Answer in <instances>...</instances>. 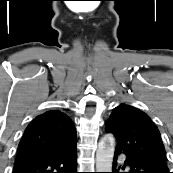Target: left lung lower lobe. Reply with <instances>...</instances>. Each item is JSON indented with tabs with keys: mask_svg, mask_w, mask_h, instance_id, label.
Listing matches in <instances>:
<instances>
[{
	"mask_svg": "<svg viewBox=\"0 0 173 173\" xmlns=\"http://www.w3.org/2000/svg\"><path fill=\"white\" fill-rule=\"evenodd\" d=\"M120 152L115 151L113 159V172L120 173L119 169H125L126 166L130 168L128 173H169V169L160 167L156 164L148 162L146 160L139 159L133 155L126 154V161L124 166H117V158Z\"/></svg>",
	"mask_w": 173,
	"mask_h": 173,
	"instance_id": "left-lung-lower-lobe-1",
	"label": "left lung lower lobe"
}]
</instances>
